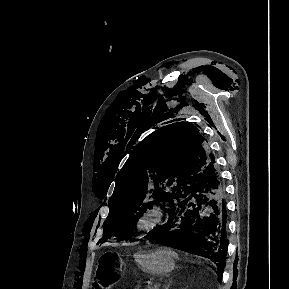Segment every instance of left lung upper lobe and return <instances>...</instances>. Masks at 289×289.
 I'll return each mask as SVG.
<instances>
[{"mask_svg":"<svg viewBox=\"0 0 289 289\" xmlns=\"http://www.w3.org/2000/svg\"><path fill=\"white\" fill-rule=\"evenodd\" d=\"M213 157L199 129L190 123H173L150 134L136 146L116 177L101 241L132 240L136 219L153 204L162 202L161 207L169 213L175 197Z\"/></svg>","mask_w":289,"mask_h":289,"instance_id":"obj_1","label":"left lung upper lobe"}]
</instances>
